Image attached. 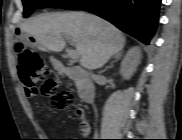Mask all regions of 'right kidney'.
<instances>
[{"label":"right kidney","instance_id":"ca27d5eb","mask_svg":"<svg viewBox=\"0 0 182 140\" xmlns=\"http://www.w3.org/2000/svg\"><path fill=\"white\" fill-rule=\"evenodd\" d=\"M141 61V50L139 47H133L125 55L121 63V75L123 79L129 80Z\"/></svg>","mask_w":182,"mask_h":140}]
</instances>
